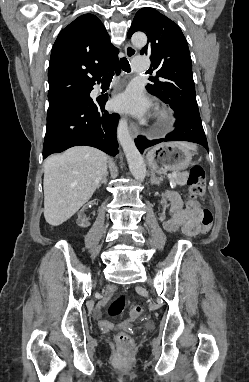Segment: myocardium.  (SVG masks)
Listing matches in <instances>:
<instances>
[{
	"mask_svg": "<svg viewBox=\"0 0 249 382\" xmlns=\"http://www.w3.org/2000/svg\"><path fill=\"white\" fill-rule=\"evenodd\" d=\"M173 124V116L166 109H159L155 113V128L161 131L167 130Z\"/></svg>",
	"mask_w": 249,
	"mask_h": 382,
	"instance_id": "myocardium-1",
	"label": "myocardium"
}]
</instances>
